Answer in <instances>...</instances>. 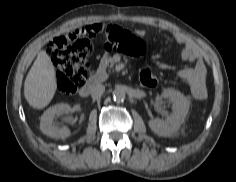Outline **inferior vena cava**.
<instances>
[{"instance_id":"obj_1","label":"inferior vena cava","mask_w":236,"mask_h":182,"mask_svg":"<svg viewBox=\"0 0 236 182\" xmlns=\"http://www.w3.org/2000/svg\"><path fill=\"white\" fill-rule=\"evenodd\" d=\"M105 91V86L102 84H96L91 89V97L93 99H99Z\"/></svg>"}]
</instances>
